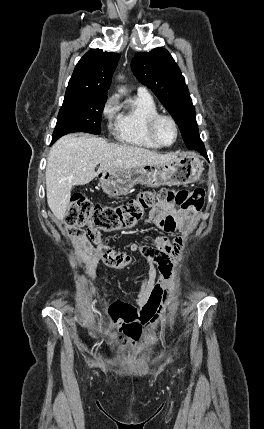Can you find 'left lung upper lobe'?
<instances>
[{
	"label": "left lung upper lobe",
	"instance_id": "5c2ea615",
	"mask_svg": "<svg viewBox=\"0 0 264 429\" xmlns=\"http://www.w3.org/2000/svg\"><path fill=\"white\" fill-rule=\"evenodd\" d=\"M131 67L137 79L155 93L173 116L187 148L205 150L185 79L170 53L164 48L137 53Z\"/></svg>",
	"mask_w": 264,
	"mask_h": 429
}]
</instances>
